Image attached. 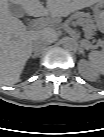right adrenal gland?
I'll list each match as a JSON object with an SVG mask.
<instances>
[{
  "mask_svg": "<svg viewBox=\"0 0 104 137\" xmlns=\"http://www.w3.org/2000/svg\"><path fill=\"white\" fill-rule=\"evenodd\" d=\"M37 57H39V54H37V53L31 55V58H32V59H35V58H37Z\"/></svg>",
  "mask_w": 104,
  "mask_h": 137,
  "instance_id": "2a0ac1e0",
  "label": "right adrenal gland"
}]
</instances>
